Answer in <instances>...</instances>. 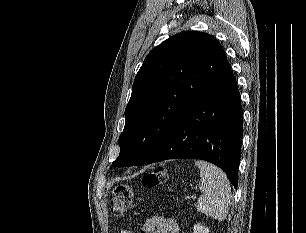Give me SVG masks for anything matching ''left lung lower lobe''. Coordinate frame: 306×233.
I'll return each instance as SVG.
<instances>
[{"instance_id": "0a47b994", "label": "left lung lower lobe", "mask_w": 306, "mask_h": 233, "mask_svg": "<svg viewBox=\"0 0 306 233\" xmlns=\"http://www.w3.org/2000/svg\"><path fill=\"white\" fill-rule=\"evenodd\" d=\"M242 136L240 93L227 61L145 164L176 158L206 160L223 169L237 188Z\"/></svg>"}]
</instances>
